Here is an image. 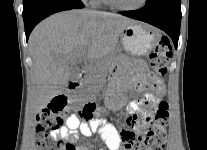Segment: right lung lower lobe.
Returning <instances> with one entry per match:
<instances>
[{"label": "right lung lower lobe", "mask_w": 207, "mask_h": 150, "mask_svg": "<svg viewBox=\"0 0 207 150\" xmlns=\"http://www.w3.org/2000/svg\"><path fill=\"white\" fill-rule=\"evenodd\" d=\"M23 20L26 40L33 28L44 18L56 12L83 8L81 0H27L23 2Z\"/></svg>", "instance_id": "right-lung-lower-lobe-1"}]
</instances>
